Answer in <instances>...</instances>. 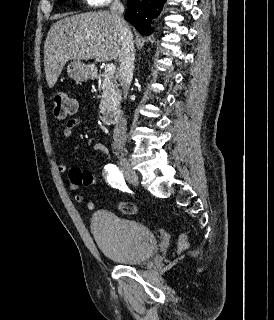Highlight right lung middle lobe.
Listing matches in <instances>:
<instances>
[{
  "label": "right lung middle lobe",
  "mask_w": 274,
  "mask_h": 320,
  "mask_svg": "<svg viewBox=\"0 0 274 320\" xmlns=\"http://www.w3.org/2000/svg\"><path fill=\"white\" fill-rule=\"evenodd\" d=\"M66 0H58L59 4L65 2Z\"/></svg>",
  "instance_id": "obj_1"
}]
</instances>
